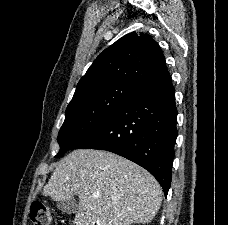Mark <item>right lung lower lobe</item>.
I'll list each match as a JSON object with an SVG mask.
<instances>
[{
  "label": "right lung lower lobe",
  "instance_id": "98d812e1",
  "mask_svg": "<svg viewBox=\"0 0 228 225\" xmlns=\"http://www.w3.org/2000/svg\"><path fill=\"white\" fill-rule=\"evenodd\" d=\"M175 90L165 67L71 149H99L148 170L167 196L177 138Z\"/></svg>",
  "mask_w": 228,
  "mask_h": 225
}]
</instances>
